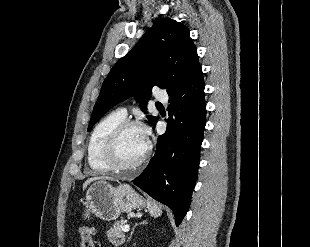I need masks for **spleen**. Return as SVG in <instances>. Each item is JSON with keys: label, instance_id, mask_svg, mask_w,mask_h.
<instances>
[{"label": "spleen", "instance_id": "spleen-1", "mask_svg": "<svg viewBox=\"0 0 310 247\" xmlns=\"http://www.w3.org/2000/svg\"><path fill=\"white\" fill-rule=\"evenodd\" d=\"M147 206H148V211L152 217L157 218V217L161 216L162 211H161L160 207L155 202L148 201Z\"/></svg>", "mask_w": 310, "mask_h": 247}]
</instances>
